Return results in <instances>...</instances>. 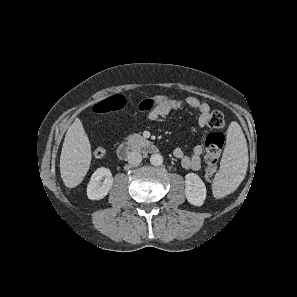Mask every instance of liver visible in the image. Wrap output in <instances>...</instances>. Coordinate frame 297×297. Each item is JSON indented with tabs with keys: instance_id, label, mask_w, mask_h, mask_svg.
I'll return each mask as SVG.
<instances>
[{
	"instance_id": "obj_1",
	"label": "liver",
	"mask_w": 297,
	"mask_h": 297,
	"mask_svg": "<svg viewBox=\"0 0 297 297\" xmlns=\"http://www.w3.org/2000/svg\"><path fill=\"white\" fill-rule=\"evenodd\" d=\"M91 162V145L82 122L76 118L66 132L61 155L60 174L68 188L78 186Z\"/></svg>"
}]
</instances>
